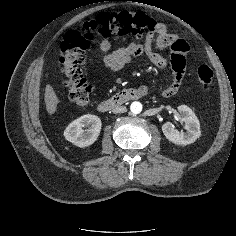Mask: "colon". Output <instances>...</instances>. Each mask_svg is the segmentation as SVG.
<instances>
[{
	"mask_svg": "<svg viewBox=\"0 0 236 236\" xmlns=\"http://www.w3.org/2000/svg\"><path fill=\"white\" fill-rule=\"evenodd\" d=\"M145 32H153L163 41L173 37L167 28L153 17L127 10L101 13L68 31L61 44L60 63L70 102L75 106L84 107L91 100L92 87L84 77L82 64L84 54L97 35L140 38ZM197 77L201 87L208 88L213 82L214 72L208 65H201L197 69Z\"/></svg>",
	"mask_w": 236,
	"mask_h": 236,
	"instance_id": "colon-1",
	"label": "colon"
}]
</instances>
